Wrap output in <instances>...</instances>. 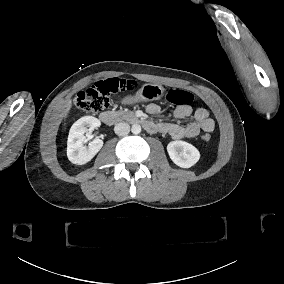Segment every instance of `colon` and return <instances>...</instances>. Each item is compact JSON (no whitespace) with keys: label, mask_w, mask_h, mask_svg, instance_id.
I'll return each instance as SVG.
<instances>
[{"label":"colon","mask_w":284,"mask_h":284,"mask_svg":"<svg viewBox=\"0 0 284 284\" xmlns=\"http://www.w3.org/2000/svg\"><path fill=\"white\" fill-rule=\"evenodd\" d=\"M137 85L136 81L133 80H125L122 78L114 77L107 78L104 81H101L98 85L80 91L75 96V100L77 103V108L81 111L95 113L103 110L107 103L108 97L111 94L133 90ZM166 102L174 107L179 108L181 106H187L192 101V94L187 89H177L170 88L165 93ZM204 140H209V134H203Z\"/></svg>","instance_id":"colon-1"}]
</instances>
